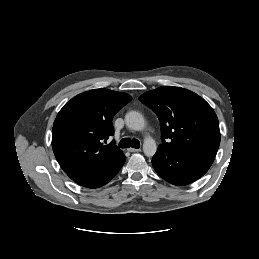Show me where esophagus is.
Returning a JSON list of instances; mask_svg holds the SVG:
<instances>
[{"label": "esophagus", "instance_id": "34e87169", "mask_svg": "<svg viewBox=\"0 0 259 259\" xmlns=\"http://www.w3.org/2000/svg\"><path fill=\"white\" fill-rule=\"evenodd\" d=\"M128 151H129V152H140L141 149L129 148Z\"/></svg>", "mask_w": 259, "mask_h": 259}]
</instances>
